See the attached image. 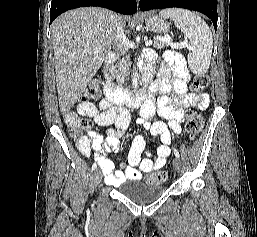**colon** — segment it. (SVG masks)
I'll list each match as a JSON object with an SVG mask.
<instances>
[{
  "label": "colon",
  "instance_id": "obj_1",
  "mask_svg": "<svg viewBox=\"0 0 257 237\" xmlns=\"http://www.w3.org/2000/svg\"><path fill=\"white\" fill-rule=\"evenodd\" d=\"M209 86V78L206 75H197L194 78L192 88L198 92H204ZM101 88L97 81H93L87 87L84 98L86 100H96L100 97ZM65 122L68 127L69 133L73 137H79L84 131L91 129V121L81 118L75 112H68L65 114ZM203 118L198 113H191L185 124V131L188 137L193 140L201 131L203 127ZM167 179V173L165 171L152 172L146 177V182L151 184L162 183Z\"/></svg>",
  "mask_w": 257,
  "mask_h": 237
}]
</instances>
